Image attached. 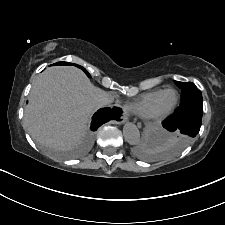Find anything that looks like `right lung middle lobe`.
Masks as SVG:
<instances>
[{"label":"right lung middle lobe","mask_w":225,"mask_h":225,"mask_svg":"<svg viewBox=\"0 0 225 225\" xmlns=\"http://www.w3.org/2000/svg\"><path fill=\"white\" fill-rule=\"evenodd\" d=\"M53 65H75V66L81 68L90 77L89 73L83 67H81L79 65H76V64H71V63H68V62H57Z\"/></svg>","instance_id":"right-lung-middle-lobe-1"}]
</instances>
